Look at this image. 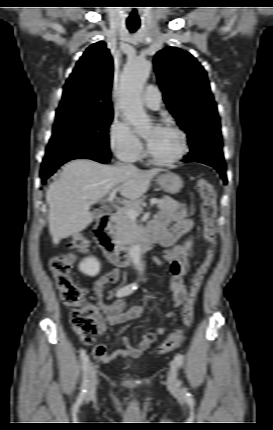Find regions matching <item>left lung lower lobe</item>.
<instances>
[{
    "mask_svg": "<svg viewBox=\"0 0 273 430\" xmlns=\"http://www.w3.org/2000/svg\"><path fill=\"white\" fill-rule=\"evenodd\" d=\"M191 151L188 155L184 156L183 162L197 161L207 164L218 170L224 183H227L225 174V163L222 154L221 137H214L205 134L201 136L196 144L190 145Z\"/></svg>",
    "mask_w": 273,
    "mask_h": 430,
    "instance_id": "obj_1",
    "label": "left lung lower lobe"
}]
</instances>
